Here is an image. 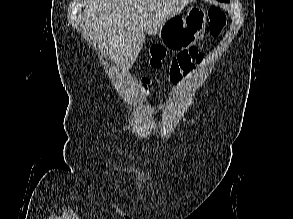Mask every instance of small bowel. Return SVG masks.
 <instances>
[{
    "mask_svg": "<svg viewBox=\"0 0 293 219\" xmlns=\"http://www.w3.org/2000/svg\"><path fill=\"white\" fill-rule=\"evenodd\" d=\"M150 84V80H148V79H145L144 81H143V86H144V88H147V86Z\"/></svg>",
    "mask_w": 293,
    "mask_h": 219,
    "instance_id": "c3829d8e",
    "label": "small bowel"
}]
</instances>
